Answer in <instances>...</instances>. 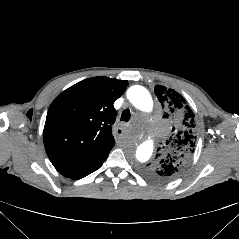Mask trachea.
<instances>
[{
	"label": "trachea",
	"mask_w": 239,
	"mask_h": 239,
	"mask_svg": "<svg viewBox=\"0 0 239 239\" xmlns=\"http://www.w3.org/2000/svg\"><path fill=\"white\" fill-rule=\"evenodd\" d=\"M131 117V114H130V110L129 109H125L122 114H121V121H129Z\"/></svg>",
	"instance_id": "1"
}]
</instances>
